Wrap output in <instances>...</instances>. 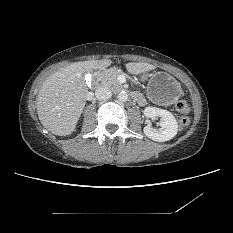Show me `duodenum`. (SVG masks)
<instances>
[{"mask_svg":"<svg viewBox=\"0 0 233 233\" xmlns=\"http://www.w3.org/2000/svg\"><path fill=\"white\" fill-rule=\"evenodd\" d=\"M111 70V67L110 66H105L103 68H101L99 71H98V74H97V77L95 79L92 80V83L91 85L93 87L97 86L98 82L102 79V77L107 74L109 71ZM134 97H137L136 94L133 95Z\"/></svg>","mask_w":233,"mask_h":233,"instance_id":"1","label":"duodenum"}]
</instances>
